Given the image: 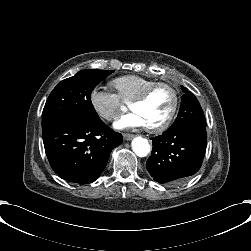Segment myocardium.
<instances>
[{
  "label": "myocardium",
  "instance_id": "f54148a6",
  "mask_svg": "<svg viewBox=\"0 0 251 251\" xmlns=\"http://www.w3.org/2000/svg\"><path fill=\"white\" fill-rule=\"evenodd\" d=\"M160 86H168L172 89V91L174 93V104H173V107H172L170 113L162 122L155 124V125L147 126V129L152 132H159V131H163V130L167 129L171 125L173 119L175 118V116L178 112L179 106H180V98H181L180 97V90L177 87V85H175L174 83H171V82L155 81L151 85H149L138 97L133 99L131 102V105H133L135 103L146 102L151 97L153 92Z\"/></svg>",
  "mask_w": 251,
  "mask_h": 251
}]
</instances>
